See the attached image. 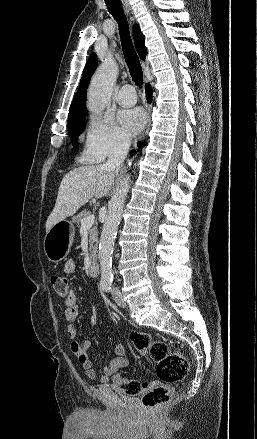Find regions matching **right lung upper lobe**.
I'll use <instances>...</instances> for the list:
<instances>
[{
  "label": "right lung upper lobe",
  "instance_id": "cb5924a9",
  "mask_svg": "<svg viewBox=\"0 0 257 439\" xmlns=\"http://www.w3.org/2000/svg\"><path fill=\"white\" fill-rule=\"evenodd\" d=\"M144 35L140 31L139 25L134 26V42L137 49V52L142 60H144L147 49L144 45ZM97 56L95 53H92L89 56L87 64L82 74V78L80 80L79 88L77 93L72 101L69 115H86L87 108L85 105L86 95H87V87L88 83L91 79V76L95 72L97 68Z\"/></svg>",
  "mask_w": 257,
  "mask_h": 439
}]
</instances>
